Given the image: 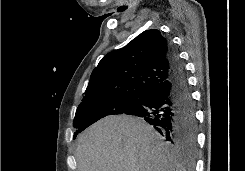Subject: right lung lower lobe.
Returning <instances> with one entry per match:
<instances>
[{
	"label": "right lung lower lobe",
	"instance_id": "1",
	"mask_svg": "<svg viewBox=\"0 0 245 171\" xmlns=\"http://www.w3.org/2000/svg\"><path fill=\"white\" fill-rule=\"evenodd\" d=\"M170 76L143 93L123 114L143 118L187 156L196 152L197 122L184 65L170 46Z\"/></svg>",
	"mask_w": 245,
	"mask_h": 171
}]
</instances>
